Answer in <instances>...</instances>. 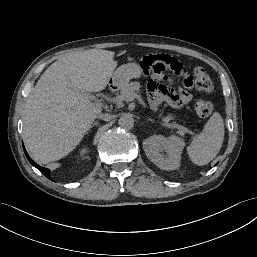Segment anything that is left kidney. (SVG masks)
<instances>
[{
  "label": "left kidney",
  "mask_w": 257,
  "mask_h": 257,
  "mask_svg": "<svg viewBox=\"0 0 257 257\" xmlns=\"http://www.w3.org/2000/svg\"><path fill=\"white\" fill-rule=\"evenodd\" d=\"M185 142L182 138L172 135L168 138L162 135L151 136L143 142L146 156L162 170H176L180 167L181 154Z\"/></svg>",
  "instance_id": "1"
}]
</instances>
